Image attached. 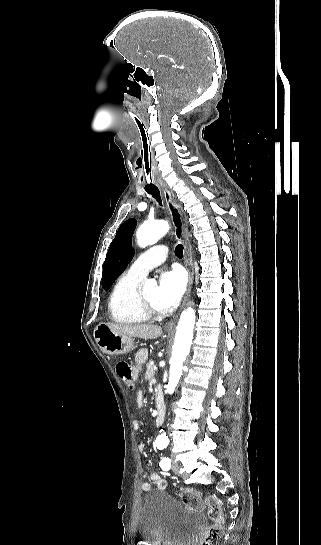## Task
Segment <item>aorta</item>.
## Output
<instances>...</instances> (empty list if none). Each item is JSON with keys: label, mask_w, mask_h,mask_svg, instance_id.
<instances>
[{"label": "aorta", "mask_w": 321, "mask_h": 545, "mask_svg": "<svg viewBox=\"0 0 321 545\" xmlns=\"http://www.w3.org/2000/svg\"><path fill=\"white\" fill-rule=\"evenodd\" d=\"M169 230L167 221L159 220L153 222H144L137 230L136 238L140 247L145 248L148 245L156 243ZM153 280L146 281V286H153ZM195 324V311L193 308H188L183 311L177 326L175 343L173 346V354L170 360V373L167 392L172 394L178 385L182 375V365L190 351L191 342L193 339V329ZM168 437L161 431L157 437V444L167 445Z\"/></svg>", "instance_id": "1"}]
</instances>
